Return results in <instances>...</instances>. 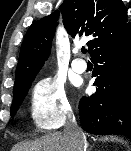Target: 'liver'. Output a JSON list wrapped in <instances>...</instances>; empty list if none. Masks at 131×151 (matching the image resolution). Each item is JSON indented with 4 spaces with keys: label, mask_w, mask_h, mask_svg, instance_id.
Instances as JSON below:
<instances>
[{
    "label": "liver",
    "mask_w": 131,
    "mask_h": 151,
    "mask_svg": "<svg viewBox=\"0 0 131 151\" xmlns=\"http://www.w3.org/2000/svg\"><path fill=\"white\" fill-rule=\"evenodd\" d=\"M65 134L56 132L33 142L17 144L12 151H76Z\"/></svg>",
    "instance_id": "liver-1"
}]
</instances>
